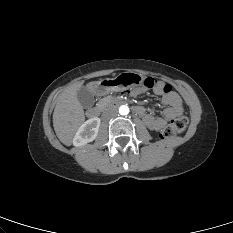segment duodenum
I'll list each match as a JSON object with an SVG mask.
<instances>
[{
  "mask_svg": "<svg viewBox=\"0 0 233 233\" xmlns=\"http://www.w3.org/2000/svg\"><path fill=\"white\" fill-rule=\"evenodd\" d=\"M109 103H113V104H124L125 101L122 98H115L113 100H111ZM101 108L100 107H92L87 111V115L89 118H98L100 113H101Z\"/></svg>",
  "mask_w": 233,
  "mask_h": 233,
  "instance_id": "1",
  "label": "duodenum"
}]
</instances>
